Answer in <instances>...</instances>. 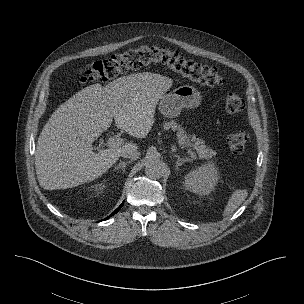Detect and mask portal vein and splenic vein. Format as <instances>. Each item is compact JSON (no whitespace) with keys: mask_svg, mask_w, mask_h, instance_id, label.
<instances>
[{"mask_svg":"<svg viewBox=\"0 0 304 304\" xmlns=\"http://www.w3.org/2000/svg\"><path fill=\"white\" fill-rule=\"evenodd\" d=\"M124 144V140L120 138L119 136H110L107 141V146L109 147H115V146H120ZM188 154L190 155L191 158H196V154L192 150H188Z\"/></svg>","mask_w":304,"mask_h":304,"instance_id":"portal-vein-and-splenic-vein-1","label":"portal vein and splenic vein"}]
</instances>
